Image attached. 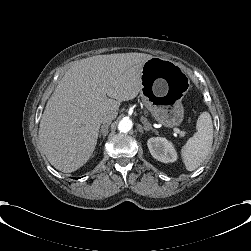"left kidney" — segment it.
<instances>
[{"mask_svg": "<svg viewBox=\"0 0 251 251\" xmlns=\"http://www.w3.org/2000/svg\"><path fill=\"white\" fill-rule=\"evenodd\" d=\"M147 146L152 156L162 163H174L179 158L175 144L165 137H151L147 140Z\"/></svg>", "mask_w": 251, "mask_h": 251, "instance_id": "obj_1", "label": "left kidney"}]
</instances>
